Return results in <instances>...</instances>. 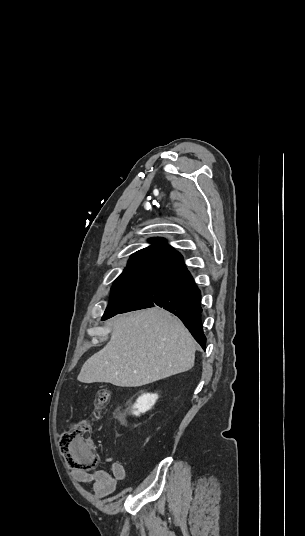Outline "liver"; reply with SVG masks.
Masks as SVG:
<instances>
[{
  "instance_id": "liver-1",
  "label": "liver",
  "mask_w": 305,
  "mask_h": 536,
  "mask_svg": "<svg viewBox=\"0 0 305 536\" xmlns=\"http://www.w3.org/2000/svg\"><path fill=\"white\" fill-rule=\"evenodd\" d=\"M110 342L91 356L77 378L122 388L145 386L188 372L195 362L194 340L182 322L162 308L116 316Z\"/></svg>"
}]
</instances>
